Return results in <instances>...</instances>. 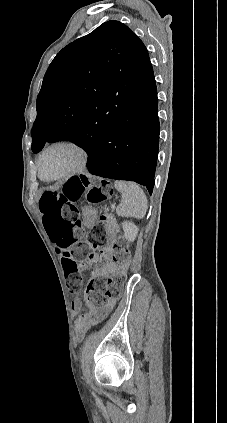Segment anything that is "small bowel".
<instances>
[{
    "instance_id": "obj_1",
    "label": "small bowel",
    "mask_w": 227,
    "mask_h": 423,
    "mask_svg": "<svg viewBox=\"0 0 227 423\" xmlns=\"http://www.w3.org/2000/svg\"><path fill=\"white\" fill-rule=\"evenodd\" d=\"M57 248V247H56ZM103 255L107 258L111 255V249L107 248L102 251ZM116 265L113 262H108L105 266L98 269L95 274L98 276H106L115 272ZM115 304L114 300H110L104 307L97 311H93L91 314H86L83 316H79L75 322V329L78 338H82L88 332V330L104 320L109 313L111 312L113 306ZM71 308L74 312H79L82 308V302L80 299L76 298L71 302Z\"/></svg>"
}]
</instances>
